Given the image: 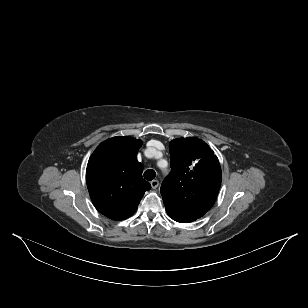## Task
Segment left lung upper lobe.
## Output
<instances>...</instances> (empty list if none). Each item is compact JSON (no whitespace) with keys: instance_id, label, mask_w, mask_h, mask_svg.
Returning <instances> with one entry per match:
<instances>
[{"instance_id":"1","label":"left lung upper lobe","mask_w":308,"mask_h":308,"mask_svg":"<svg viewBox=\"0 0 308 308\" xmlns=\"http://www.w3.org/2000/svg\"><path fill=\"white\" fill-rule=\"evenodd\" d=\"M171 169L161 186L167 214L189 223L213 206L221 185V168L210 147L195 137L172 140Z\"/></svg>"}]
</instances>
